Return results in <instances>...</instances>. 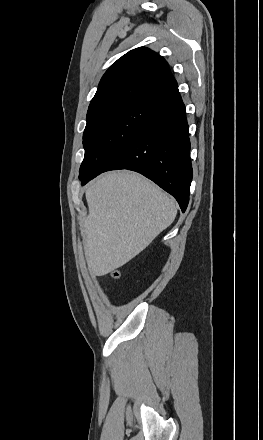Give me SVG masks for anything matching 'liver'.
Segmentation results:
<instances>
[{"label": "liver", "mask_w": 263, "mask_h": 440, "mask_svg": "<svg viewBox=\"0 0 263 440\" xmlns=\"http://www.w3.org/2000/svg\"><path fill=\"white\" fill-rule=\"evenodd\" d=\"M89 215L82 225L90 273L104 276L122 267L174 221L173 199L141 175L110 172L86 189Z\"/></svg>", "instance_id": "liver-1"}]
</instances>
